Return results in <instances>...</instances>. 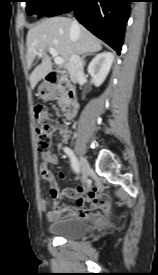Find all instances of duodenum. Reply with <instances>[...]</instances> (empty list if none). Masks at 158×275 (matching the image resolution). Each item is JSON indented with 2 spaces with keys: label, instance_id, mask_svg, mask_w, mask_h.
<instances>
[{
  "label": "duodenum",
  "instance_id": "duodenum-1",
  "mask_svg": "<svg viewBox=\"0 0 158 275\" xmlns=\"http://www.w3.org/2000/svg\"><path fill=\"white\" fill-rule=\"evenodd\" d=\"M63 80V74L60 71H50L46 74V88L47 93L52 96L55 89L61 85ZM78 109V102L76 97V92L74 89H68L66 92V102L63 106V114L66 120H72Z\"/></svg>",
  "mask_w": 158,
  "mask_h": 275
}]
</instances>
